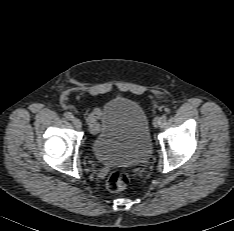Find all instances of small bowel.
<instances>
[{
    "label": "small bowel",
    "mask_w": 234,
    "mask_h": 231,
    "mask_svg": "<svg viewBox=\"0 0 234 231\" xmlns=\"http://www.w3.org/2000/svg\"><path fill=\"white\" fill-rule=\"evenodd\" d=\"M103 115V110L95 109L88 117V124L91 132L97 133L99 131V123L98 120Z\"/></svg>",
    "instance_id": "small-bowel-1"
}]
</instances>
